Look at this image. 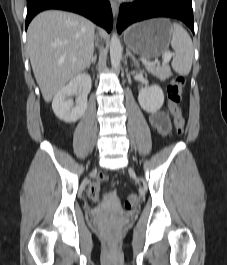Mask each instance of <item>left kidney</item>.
<instances>
[{
    "label": "left kidney",
    "instance_id": "5707ae66",
    "mask_svg": "<svg viewBox=\"0 0 227 265\" xmlns=\"http://www.w3.org/2000/svg\"><path fill=\"white\" fill-rule=\"evenodd\" d=\"M138 101L140 106L149 113L157 112L163 105L164 93L159 85H152L140 90Z\"/></svg>",
    "mask_w": 227,
    "mask_h": 265
}]
</instances>
